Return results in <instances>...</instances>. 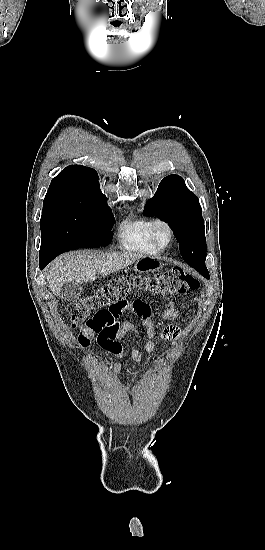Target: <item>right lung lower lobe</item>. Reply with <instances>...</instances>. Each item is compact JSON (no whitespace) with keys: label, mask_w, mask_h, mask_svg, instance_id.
I'll return each instance as SVG.
<instances>
[{"label":"right lung lower lobe","mask_w":265,"mask_h":550,"mask_svg":"<svg viewBox=\"0 0 265 550\" xmlns=\"http://www.w3.org/2000/svg\"><path fill=\"white\" fill-rule=\"evenodd\" d=\"M50 261L51 260H49L47 258L40 257L39 258V267H40V269H44Z\"/></svg>","instance_id":"obj_1"}]
</instances>
